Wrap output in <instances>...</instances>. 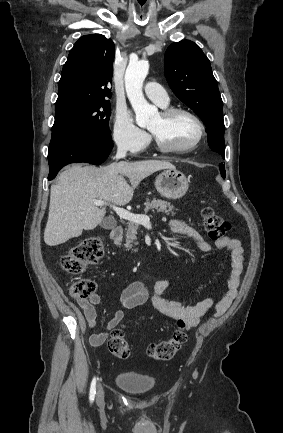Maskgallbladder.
Listing matches in <instances>:
<instances>
[{"label": "gallbladder", "instance_id": "bac80fb5", "mask_svg": "<svg viewBox=\"0 0 283 433\" xmlns=\"http://www.w3.org/2000/svg\"><path fill=\"white\" fill-rule=\"evenodd\" d=\"M117 223L114 221V219H111V217H106L104 221H101L100 227L102 229H108V231H111V229H115Z\"/></svg>", "mask_w": 283, "mask_h": 433}]
</instances>
